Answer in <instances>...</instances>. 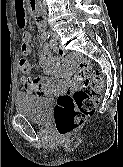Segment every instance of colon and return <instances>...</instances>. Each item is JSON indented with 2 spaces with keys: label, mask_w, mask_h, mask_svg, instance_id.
I'll return each instance as SVG.
<instances>
[{
  "label": "colon",
  "mask_w": 123,
  "mask_h": 167,
  "mask_svg": "<svg viewBox=\"0 0 123 167\" xmlns=\"http://www.w3.org/2000/svg\"><path fill=\"white\" fill-rule=\"evenodd\" d=\"M30 66L31 64L26 59L20 61L23 74L30 72ZM103 88L102 76L93 69L88 60L80 59L77 87L72 93L61 94L54 110L56 129L61 136L71 134L93 114L100 101V92Z\"/></svg>",
  "instance_id": "obj_1"
}]
</instances>
